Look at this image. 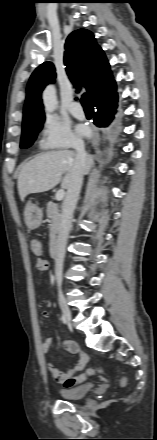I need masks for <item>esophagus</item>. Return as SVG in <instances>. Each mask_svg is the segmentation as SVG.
Segmentation results:
<instances>
[{
    "instance_id": "1",
    "label": "esophagus",
    "mask_w": 157,
    "mask_h": 440,
    "mask_svg": "<svg viewBox=\"0 0 157 440\" xmlns=\"http://www.w3.org/2000/svg\"><path fill=\"white\" fill-rule=\"evenodd\" d=\"M96 137H97V132L94 130L93 138H92V143H93V144L96 143Z\"/></svg>"
}]
</instances>
